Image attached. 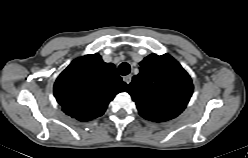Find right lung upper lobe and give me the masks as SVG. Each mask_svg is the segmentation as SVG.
<instances>
[{
	"label": "right lung upper lobe",
	"mask_w": 248,
	"mask_h": 158,
	"mask_svg": "<svg viewBox=\"0 0 248 158\" xmlns=\"http://www.w3.org/2000/svg\"><path fill=\"white\" fill-rule=\"evenodd\" d=\"M126 87L115 65L93 54L75 59L58 76L54 96L67 115L88 121L103 115L109 102Z\"/></svg>",
	"instance_id": "obj_1"
}]
</instances>
